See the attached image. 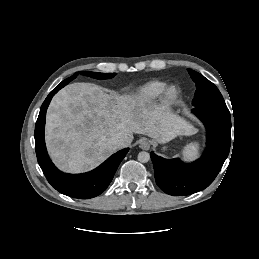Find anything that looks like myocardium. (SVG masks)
Returning <instances> with one entry per match:
<instances>
[{
  "label": "myocardium",
  "instance_id": "1",
  "mask_svg": "<svg viewBox=\"0 0 259 259\" xmlns=\"http://www.w3.org/2000/svg\"><path fill=\"white\" fill-rule=\"evenodd\" d=\"M181 98V90L176 85H168L164 89L161 100L166 106H173L178 103Z\"/></svg>",
  "mask_w": 259,
  "mask_h": 259
}]
</instances>
